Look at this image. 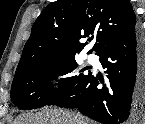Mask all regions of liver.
Wrapping results in <instances>:
<instances>
[{"label":"liver","instance_id":"liver-1","mask_svg":"<svg viewBox=\"0 0 145 124\" xmlns=\"http://www.w3.org/2000/svg\"><path fill=\"white\" fill-rule=\"evenodd\" d=\"M14 124H90L82 116L61 109L43 110L20 116Z\"/></svg>","mask_w":145,"mask_h":124}]
</instances>
